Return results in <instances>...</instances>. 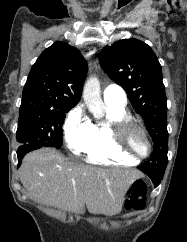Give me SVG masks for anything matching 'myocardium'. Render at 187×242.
<instances>
[{
  "instance_id": "1",
  "label": "myocardium",
  "mask_w": 187,
  "mask_h": 242,
  "mask_svg": "<svg viewBox=\"0 0 187 242\" xmlns=\"http://www.w3.org/2000/svg\"><path fill=\"white\" fill-rule=\"evenodd\" d=\"M131 130L139 131L146 140L148 150L142 156L132 154L126 146V135ZM110 139L115 150L121 155L131 158L137 163L148 158L152 152V143L147 131L130 117H121L109 124Z\"/></svg>"
}]
</instances>
